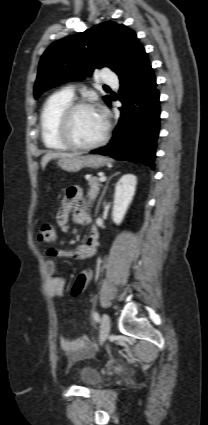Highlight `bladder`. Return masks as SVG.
Returning a JSON list of instances; mask_svg holds the SVG:
<instances>
[{
	"instance_id": "31cf9c89",
	"label": "bladder",
	"mask_w": 208,
	"mask_h": 425,
	"mask_svg": "<svg viewBox=\"0 0 208 425\" xmlns=\"http://www.w3.org/2000/svg\"><path fill=\"white\" fill-rule=\"evenodd\" d=\"M78 378L85 387H96L101 382L99 370L90 365H84L80 368Z\"/></svg>"
}]
</instances>
